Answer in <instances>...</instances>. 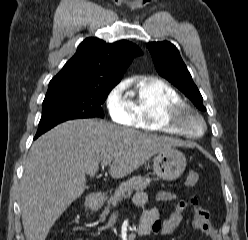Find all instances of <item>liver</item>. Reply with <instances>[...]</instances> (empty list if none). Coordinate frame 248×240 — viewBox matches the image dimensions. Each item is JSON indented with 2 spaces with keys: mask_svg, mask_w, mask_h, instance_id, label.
Instances as JSON below:
<instances>
[{
  "mask_svg": "<svg viewBox=\"0 0 248 240\" xmlns=\"http://www.w3.org/2000/svg\"><path fill=\"white\" fill-rule=\"evenodd\" d=\"M184 142L97 119L59 124L32 145L20 187L26 240H45L51 227L86 188V174L111 160V177L123 178L152 156Z\"/></svg>",
  "mask_w": 248,
  "mask_h": 240,
  "instance_id": "liver-1",
  "label": "liver"
}]
</instances>
